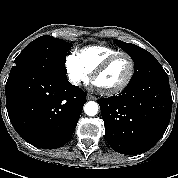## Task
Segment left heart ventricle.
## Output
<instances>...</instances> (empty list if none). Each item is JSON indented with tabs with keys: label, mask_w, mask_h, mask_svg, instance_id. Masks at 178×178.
Returning <instances> with one entry per match:
<instances>
[{
	"label": "left heart ventricle",
	"mask_w": 178,
	"mask_h": 178,
	"mask_svg": "<svg viewBox=\"0 0 178 178\" xmlns=\"http://www.w3.org/2000/svg\"><path fill=\"white\" fill-rule=\"evenodd\" d=\"M130 62L127 57H121L113 62L95 81V85L102 90H109L119 86L129 74Z\"/></svg>",
	"instance_id": "obj_1"
}]
</instances>
